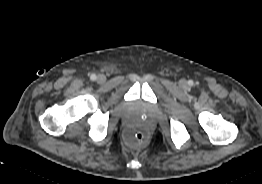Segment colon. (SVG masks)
<instances>
[{"label": "colon", "instance_id": "obj_1", "mask_svg": "<svg viewBox=\"0 0 262 184\" xmlns=\"http://www.w3.org/2000/svg\"><path fill=\"white\" fill-rule=\"evenodd\" d=\"M146 140V134L138 129H131L127 134V142L132 147H140Z\"/></svg>", "mask_w": 262, "mask_h": 184}]
</instances>
